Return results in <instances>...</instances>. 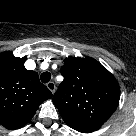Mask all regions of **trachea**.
Here are the masks:
<instances>
[{
	"label": "trachea",
	"instance_id": "trachea-1",
	"mask_svg": "<svg viewBox=\"0 0 136 136\" xmlns=\"http://www.w3.org/2000/svg\"><path fill=\"white\" fill-rule=\"evenodd\" d=\"M40 79L43 83H47L51 79V74L50 72H43L40 76Z\"/></svg>",
	"mask_w": 136,
	"mask_h": 136
}]
</instances>
